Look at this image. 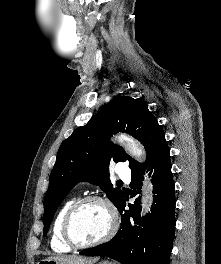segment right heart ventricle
Masks as SVG:
<instances>
[{
  "label": "right heart ventricle",
  "mask_w": 221,
  "mask_h": 264,
  "mask_svg": "<svg viewBox=\"0 0 221 264\" xmlns=\"http://www.w3.org/2000/svg\"><path fill=\"white\" fill-rule=\"evenodd\" d=\"M74 202V199L67 200L63 206L60 208L59 212L57 213L55 220L53 222L52 231H51V238L50 244L52 249L55 252L65 253L71 251V247L67 245L62 237V222L64 215L70 205Z\"/></svg>",
  "instance_id": "obj_1"
}]
</instances>
